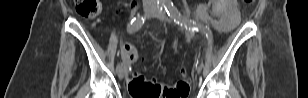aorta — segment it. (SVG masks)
<instances>
[{"instance_id":"aorta-1","label":"aorta","mask_w":308,"mask_h":98,"mask_svg":"<svg viewBox=\"0 0 308 98\" xmlns=\"http://www.w3.org/2000/svg\"><path fill=\"white\" fill-rule=\"evenodd\" d=\"M163 2H165V4L169 6L172 5V0H163Z\"/></svg>"}]
</instances>
